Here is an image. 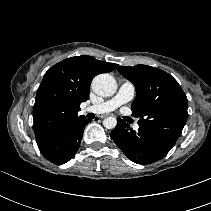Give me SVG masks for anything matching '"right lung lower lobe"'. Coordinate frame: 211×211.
Returning <instances> with one entry per match:
<instances>
[{
    "instance_id": "right-lung-lower-lobe-1",
    "label": "right lung lower lobe",
    "mask_w": 211,
    "mask_h": 211,
    "mask_svg": "<svg viewBox=\"0 0 211 211\" xmlns=\"http://www.w3.org/2000/svg\"><path fill=\"white\" fill-rule=\"evenodd\" d=\"M87 123H89L88 119L79 116L36 138L41 154L57 165L68 162L79 148L84 127Z\"/></svg>"
}]
</instances>
